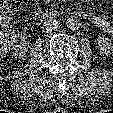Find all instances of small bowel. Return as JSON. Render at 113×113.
<instances>
[{
    "label": "small bowel",
    "instance_id": "obj_1",
    "mask_svg": "<svg viewBox=\"0 0 113 113\" xmlns=\"http://www.w3.org/2000/svg\"><path fill=\"white\" fill-rule=\"evenodd\" d=\"M87 18L97 28L113 36V22H110L108 19L98 13H89Z\"/></svg>",
    "mask_w": 113,
    "mask_h": 113
}]
</instances>
